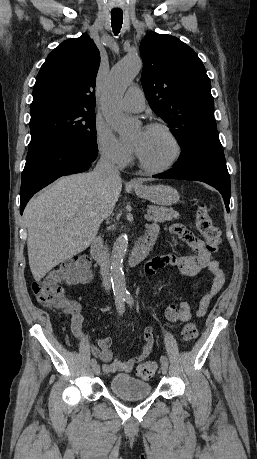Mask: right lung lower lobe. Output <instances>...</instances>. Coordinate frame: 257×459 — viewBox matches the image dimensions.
<instances>
[{"label": "right lung lower lobe", "mask_w": 257, "mask_h": 459, "mask_svg": "<svg viewBox=\"0 0 257 459\" xmlns=\"http://www.w3.org/2000/svg\"><path fill=\"white\" fill-rule=\"evenodd\" d=\"M97 155L98 150L72 142L31 141L21 179V214L36 192L63 175L86 171Z\"/></svg>", "instance_id": "98d812e1"}]
</instances>
